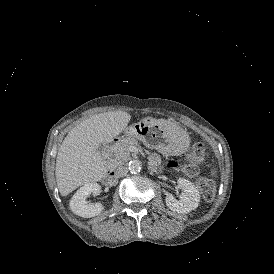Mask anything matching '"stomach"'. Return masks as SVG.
<instances>
[{
  "label": "stomach",
  "instance_id": "obj_1",
  "mask_svg": "<svg viewBox=\"0 0 274 274\" xmlns=\"http://www.w3.org/2000/svg\"><path fill=\"white\" fill-rule=\"evenodd\" d=\"M179 125L171 120L147 117L125 128V135L134 137L163 155H181L188 148L190 139L187 133L177 135Z\"/></svg>",
  "mask_w": 274,
  "mask_h": 274
}]
</instances>
